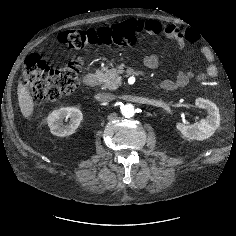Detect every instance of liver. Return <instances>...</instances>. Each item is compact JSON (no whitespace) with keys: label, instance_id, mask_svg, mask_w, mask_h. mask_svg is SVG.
Returning a JSON list of instances; mask_svg holds the SVG:
<instances>
[{"label":"liver","instance_id":"obj_1","mask_svg":"<svg viewBox=\"0 0 236 236\" xmlns=\"http://www.w3.org/2000/svg\"><path fill=\"white\" fill-rule=\"evenodd\" d=\"M17 94L21 113L26 119H30V116L33 114L34 110L33 97L30 95L29 90L22 82L18 84Z\"/></svg>","mask_w":236,"mask_h":236}]
</instances>
